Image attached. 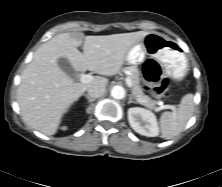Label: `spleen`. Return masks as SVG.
Masks as SVG:
<instances>
[{"instance_id":"spleen-1","label":"spleen","mask_w":222,"mask_h":187,"mask_svg":"<svg viewBox=\"0 0 222 187\" xmlns=\"http://www.w3.org/2000/svg\"><path fill=\"white\" fill-rule=\"evenodd\" d=\"M194 110V95H185L179 107L172 112H164L160 117L161 137L169 140L177 136L186 126Z\"/></svg>"}]
</instances>
